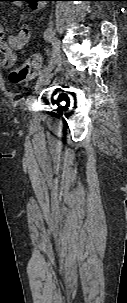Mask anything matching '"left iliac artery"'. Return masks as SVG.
Instances as JSON below:
<instances>
[{
	"label": "left iliac artery",
	"mask_w": 127,
	"mask_h": 303,
	"mask_svg": "<svg viewBox=\"0 0 127 303\" xmlns=\"http://www.w3.org/2000/svg\"><path fill=\"white\" fill-rule=\"evenodd\" d=\"M54 35V31H53V28L52 27H48L44 33V39L48 42L51 41L52 37ZM55 62V56H54V52L52 51V54H51V57H50V60H49V66H52Z\"/></svg>",
	"instance_id": "obj_1"
}]
</instances>
